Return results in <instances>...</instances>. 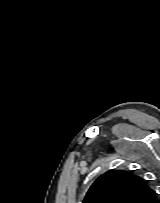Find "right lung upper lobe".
Returning a JSON list of instances; mask_svg holds the SVG:
<instances>
[{"label":"right lung upper lobe","mask_w":160,"mask_h":203,"mask_svg":"<svg viewBox=\"0 0 160 203\" xmlns=\"http://www.w3.org/2000/svg\"><path fill=\"white\" fill-rule=\"evenodd\" d=\"M154 195L141 177L110 170L92 184L83 203H154Z\"/></svg>","instance_id":"right-lung-upper-lobe-1"}]
</instances>
